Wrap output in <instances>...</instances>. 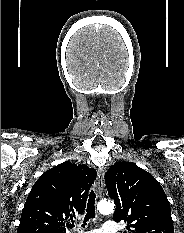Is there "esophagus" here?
<instances>
[{
    "label": "esophagus",
    "mask_w": 184,
    "mask_h": 233,
    "mask_svg": "<svg viewBox=\"0 0 184 233\" xmlns=\"http://www.w3.org/2000/svg\"><path fill=\"white\" fill-rule=\"evenodd\" d=\"M103 187H104V170L99 169L98 170V182H97V196L99 198L102 197Z\"/></svg>",
    "instance_id": "34e87169"
}]
</instances>
